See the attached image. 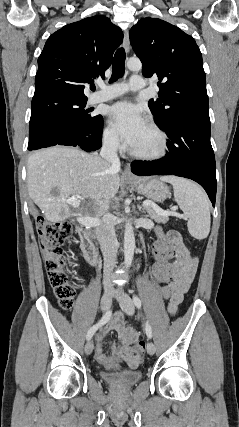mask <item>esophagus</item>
Returning a JSON list of instances; mask_svg holds the SVG:
<instances>
[{"label":"esophagus","mask_w":239,"mask_h":427,"mask_svg":"<svg viewBox=\"0 0 239 427\" xmlns=\"http://www.w3.org/2000/svg\"><path fill=\"white\" fill-rule=\"evenodd\" d=\"M124 49L128 53L130 50V39H129V32L126 30L124 32ZM122 177L124 179L132 180L134 179L133 174L131 173L130 167L128 165H125L124 170L122 172Z\"/></svg>","instance_id":"1"}]
</instances>
